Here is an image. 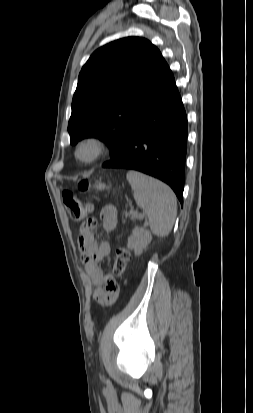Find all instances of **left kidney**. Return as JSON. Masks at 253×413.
Here are the masks:
<instances>
[{
    "instance_id": "5707ae66",
    "label": "left kidney",
    "mask_w": 253,
    "mask_h": 413,
    "mask_svg": "<svg viewBox=\"0 0 253 413\" xmlns=\"http://www.w3.org/2000/svg\"><path fill=\"white\" fill-rule=\"evenodd\" d=\"M152 240V235L149 231L135 227L132 231V235L128 238V248L134 250L136 256L142 254L143 249H145Z\"/></svg>"
}]
</instances>
